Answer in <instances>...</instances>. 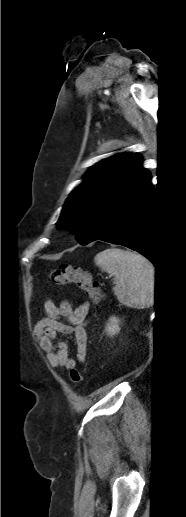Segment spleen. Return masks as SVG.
I'll return each mask as SVG.
<instances>
[{"label": "spleen", "mask_w": 186, "mask_h": 517, "mask_svg": "<svg viewBox=\"0 0 186 517\" xmlns=\"http://www.w3.org/2000/svg\"><path fill=\"white\" fill-rule=\"evenodd\" d=\"M102 271L114 276V293L124 305L143 309L154 303L155 268L140 254L106 249L94 258Z\"/></svg>", "instance_id": "obj_1"}]
</instances>
